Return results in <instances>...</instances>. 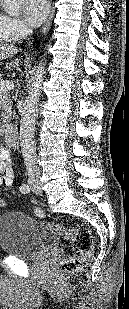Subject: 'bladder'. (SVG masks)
I'll return each mask as SVG.
<instances>
[{"label": "bladder", "instance_id": "obj_1", "mask_svg": "<svg viewBox=\"0 0 129 309\" xmlns=\"http://www.w3.org/2000/svg\"><path fill=\"white\" fill-rule=\"evenodd\" d=\"M57 246V235L47 223L18 211L0 215V247L7 255L32 259Z\"/></svg>", "mask_w": 129, "mask_h": 309}]
</instances>
